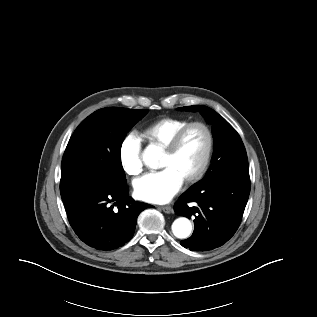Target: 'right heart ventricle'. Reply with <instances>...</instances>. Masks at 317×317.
Here are the masks:
<instances>
[{
	"label": "right heart ventricle",
	"instance_id": "obj_1",
	"mask_svg": "<svg viewBox=\"0 0 317 317\" xmlns=\"http://www.w3.org/2000/svg\"><path fill=\"white\" fill-rule=\"evenodd\" d=\"M189 121L179 117L160 118L144 127L140 136L150 145L164 149L173 136Z\"/></svg>",
	"mask_w": 317,
	"mask_h": 317
}]
</instances>
